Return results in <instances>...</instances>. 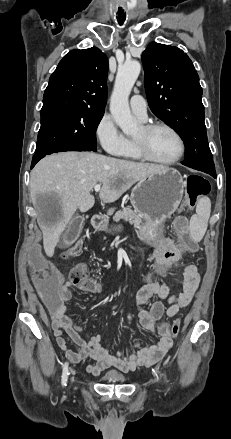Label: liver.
<instances>
[{
    "mask_svg": "<svg viewBox=\"0 0 231 439\" xmlns=\"http://www.w3.org/2000/svg\"><path fill=\"white\" fill-rule=\"evenodd\" d=\"M165 168L92 152H62L43 158L31 171L30 194L36 204L46 255H54L60 236L75 211L86 212L94 206L91 191L96 184H102L100 200L113 203L133 184ZM45 195L54 196L58 208L43 216L37 200Z\"/></svg>",
    "mask_w": 231,
    "mask_h": 439,
    "instance_id": "6515ba94",
    "label": "liver"
}]
</instances>
